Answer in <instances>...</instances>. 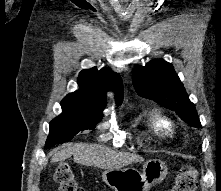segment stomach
I'll return each mask as SVG.
<instances>
[{"label": "stomach", "instance_id": "1", "mask_svg": "<svg viewBox=\"0 0 221 191\" xmlns=\"http://www.w3.org/2000/svg\"><path fill=\"white\" fill-rule=\"evenodd\" d=\"M167 166L158 159L144 163L142 172L135 168L107 169L102 173L104 182L115 191H148L167 175Z\"/></svg>", "mask_w": 221, "mask_h": 191}]
</instances>
